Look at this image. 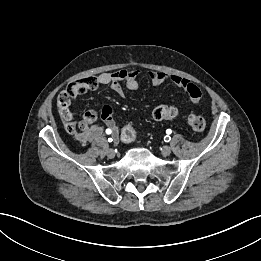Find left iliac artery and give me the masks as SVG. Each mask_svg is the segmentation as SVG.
<instances>
[{"instance_id":"44dca946","label":"left iliac artery","mask_w":261,"mask_h":261,"mask_svg":"<svg viewBox=\"0 0 261 261\" xmlns=\"http://www.w3.org/2000/svg\"><path fill=\"white\" fill-rule=\"evenodd\" d=\"M171 132H172L171 129H167V130H166V133H167V134H171ZM170 140H171V137H170V136L167 135V136L164 137V141H165V142H169Z\"/></svg>"}]
</instances>
